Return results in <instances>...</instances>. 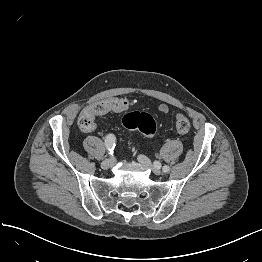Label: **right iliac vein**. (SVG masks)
<instances>
[{"instance_id": "63e3f726", "label": "right iliac vein", "mask_w": 262, "mask_h": 262, "mask_svg": "<svg viewBox=\"0 0 262 262\" xmlns=\"http://www.w3.org/2000/svg\"><path fill=\"white\" fill-rule=\"evenodd\" d=\"M113 163H114V158L105 159L102 161L101 167L106 170V169L111 168Z\"/></svg>"}]
</instances>
